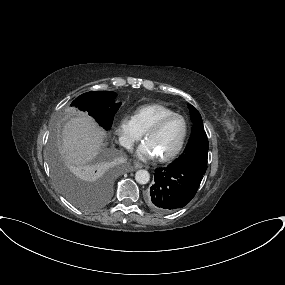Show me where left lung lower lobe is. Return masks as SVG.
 Instances as JSON below:
<instances>
[{
    "mask_svg": "<svg viewBox=\"0 0 285 285\" xmlns=\"http://www.w3.org/2000/svg\"><path fill=\"white\" fill-rule=\"evenodd\" d=\"M202 173L172 164L155 170V183L147 195L148 206L161 213L187 205L195 196L203 178Z\"/></svg>",
    "mask_w": 285,
    "mask_h": 285,
    "instance_id": "obj_1",
    "label": "left lung lower lobe"
}]
</instances>
